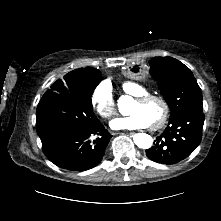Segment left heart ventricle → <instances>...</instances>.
<instances>
[{"instance_id": "left-heart-ventricle-1", "label": "left heart ventricle", "mask_w": 221, "mask_h": 221, "mask_svg": "<svg viewBox=\"0 0 221 221\" xmlns=\"http://www.w3.org/2000/svg\"><path fill=\"white\" fill-rule=\"evenodd\" d=\"M130 113H140L147 119L150 126L155 124L162 116L163 106L156 100L145 104L134 102L130 108Z\"/></svg>"}]
</instances>
